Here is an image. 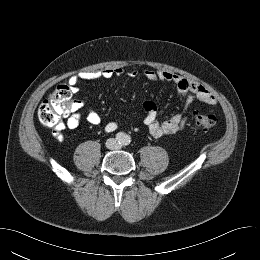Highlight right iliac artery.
<instances>
[{
	"label": "right iliac artery",
	"mask_w": 260,
	"mask_h": 260,
	"mask_svg": "<svg viewBox=\"0 0 260 260\" xmlns=\"http://www.w3.org/2000/svg\"><path fill=\"white\" fill-rule=\"evenodd\" d=\"M116 139L118 142H123L124 141V135L122 133L117 134Z\"/></svg>",
	"instance_id": "1"
}]
</instances>
